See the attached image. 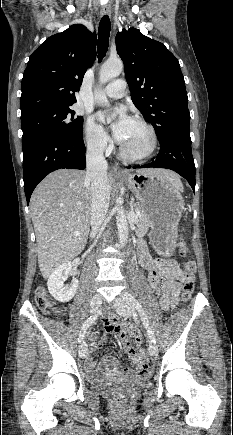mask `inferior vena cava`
<instances>
[{
	"label": "inferior vena cava",
	"instance_id": "inferior-vena-cava-1",
	"mask_svg": "<svg viewBox=\"0 0 233 435\" xmlns=\"http://www.w3.org/2000/svg\"><path fill=\"white\" fill-rule=\"evenodd\" d=\"M104 144L92 146L86 154V181L91 182V235H95L106 217L110 202L108 164L103 156Z\"/></svg>",
	"mask_w": 233,
	"mask_h": 435
}]
</instances>
